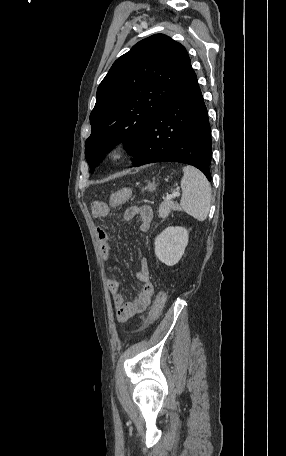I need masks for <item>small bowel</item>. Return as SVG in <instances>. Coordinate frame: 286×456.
Masks as SVG:
<instances>
[{"label":"small bowel","instance_id":"c3829d8e","mask_svg":"<svg viewBox=\"0 0 286 456\" xmlns=\"http://www.w3.org/2000/svg\"><path fill=\"white\" fill-rule=\"evenodd\" d=\"M96 213L99 214L97 211ZM124 220H136L138 228L141 231H147L152 224L153 211L149 206H132L126 209L124 213ZM97 236L104 259L109 262L111 247L107 228L105 226L99 227ZM136 279L141 284V290L137 297L133 300H127L120 292L119 281L111 278L106 280L107 288L112 295L113 304L116 309V317L120 322H125L136 314L143 312L151 302L153 285L150 280L148 258L144 257L141 259Z\"/></svg>","mask_w":286,"mask_h":456}]
</instances>
